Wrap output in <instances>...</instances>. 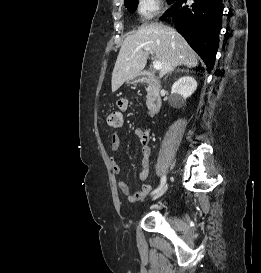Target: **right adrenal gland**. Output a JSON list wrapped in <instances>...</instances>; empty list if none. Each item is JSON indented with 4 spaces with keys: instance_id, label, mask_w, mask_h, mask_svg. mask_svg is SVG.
Instances as JSON below:
<instances>
[{
    "instance_id": "obj_1",
    "label": "right adrenal gland",
    "mask_w": 261,
    "mask_h": 273,
    "mask_svg": "<svg viewBox=\"0 0 261 273\" xmlns=\"http://www.w3.org/2000/svg\"><path fill=\"white\" fill-rule=\"evenodd\" d=\"M172 71H174V68L173 69H171V71H169V73H172ZM182 72L184 71V70H181ZM167 78V76L165 77V79Z\"/></svg>"
}]
</instances>
